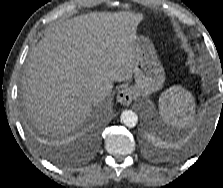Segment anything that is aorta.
Segmentation results:
<instances>
[{
	"label": "aorta",
	"instance_id": "1",
	"mask_svg": "<svg viewBox=\"0 0 223 188\" xmlns=\"http://www.w3.org/2000/svg\"><path fill=\"white\" fill-rule=\"evenodd\" d=\"M120 119L121 122L124 123V125L129 128L135 127L138 122V116L132 110L123 111L121 113Z\"/></svg>",
	"mask_w": 223,
	"mask_h": 188
}]
</instances>
